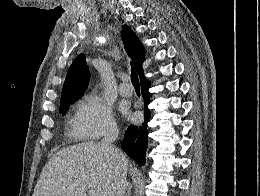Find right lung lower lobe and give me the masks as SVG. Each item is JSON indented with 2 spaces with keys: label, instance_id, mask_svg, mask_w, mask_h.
Instances as JSON below:
<instances>
[{
  "label": "right lung lower lobe",
  "instance_id": "right-lung-lower-lobe-1",
  "mask_svg": "<svg viewBox=\"0 0 260 196\" xmlns=\"http://www.w3.org/2000/svg\"><path fill=\"white\" fill-rule=\"evenodd\" d=\"M151 84L145 78L141 80V91L145 103V121L142 126L137 127L131 125L125 132V138L122 141V150L129 155L135 162L144 165L145 153L148 142V121L150 119V112L147 109V104L150 101L149 88Z\"/></svg>",
  "mask_w": 260,
  "mask_h": 196
}]
</instances>
